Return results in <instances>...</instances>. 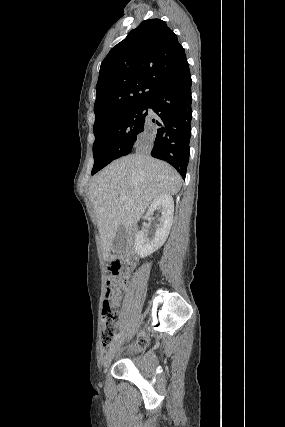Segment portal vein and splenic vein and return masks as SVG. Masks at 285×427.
I'll return each mask as SVG.
<instances>
[{
  "instance_id": "1",
  "label": "portal vein and splenic vein",
  "mask_w": 285,
  "mask_h": 427,
  "mask_svg": "<svg viewBox=\"0 0 285 427\" xmlns=\"http://www.w3.org/2000/svg\"><path fill=\"white\" fill-rule=\"evenodd\" d=\"M120 198H121V200H122V201H126V200H127V197H126V196H124V195H121V196H120ZM130 202H131V201H130ZM131 203H132V202H131Z\"/></svg>"
}]
</instances>
